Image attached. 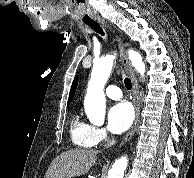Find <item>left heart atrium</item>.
<instances>
[{"instance_id":"obj_1","label":"left heart atrium","mask_w":194,"mask_h":178,"mask_svg":"<svg viewBox=\"0 0 194 178\" xmlns=\"http://www.w3.org/2000/svg\"><path fill=\"white\" fill-rule=\"evenodd\" d=\"M133 119L134 112L130 104H114L108 112V128L112 133H123L131 126Z\"/></svg>"}]
</instances>
